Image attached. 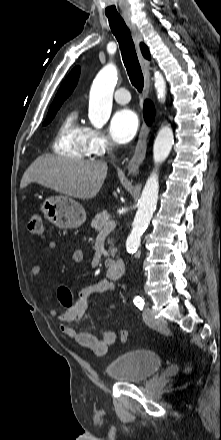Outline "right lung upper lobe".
<instances>
[{"label": "right lung upper lobe", "mask_w": 221, "mask_h": 440, "mask_svg": "<svg viewBox=\"0 0 221 440\" xmlns=\"http://www.w3.org/2000/svg\"><path fill=\"white\" fill-rule=\"evenodd\" d=\"M142 54L145 58L150 59L149 50L143 43L140 44ZM80 74V68L77 66L75 67L69 75L66 77L64 82L62 83L61 87L59 88L55 99L53 103L51 104L49 110H52L53 108L57 106H61L63 101L72 93L73 89L75 88L78 78Z\"/></svg>", "instance_id": "right-lung-upper-lobe-1"}]
</instances>
